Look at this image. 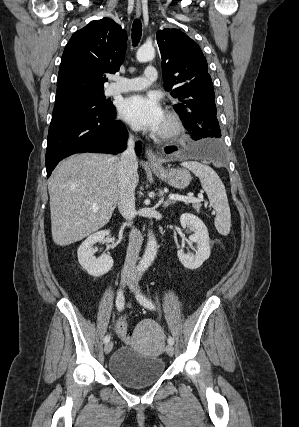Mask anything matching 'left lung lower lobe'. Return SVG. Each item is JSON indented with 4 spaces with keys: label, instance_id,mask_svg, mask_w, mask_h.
<instances>
[{
    "label": "left lung lower lobe",
    "instance_id": "obj_1",
    "mask_svg": "<svg viewBox=\"0 0 299 427\" xmlns=\"http://www.w3.org/2000/svg\"><path fill=\"white\" fill-rule=\"evenodd\" d=\"M211 112L204 108H193L186 111L182 115L181 120L184 123L185 128L190 131L191 138L193 140H199L203 138H213L208 142H198L192 144L188 151L193 154L205 156L217 161H223L224 155L219 140H216L214 130H212L213 120L211 118ZM177 150L176 147H168L165 149L166 153H171Z\"/></svg>",
    "mask_w": 299,
    "mask_h": 427
}]
</instances>
